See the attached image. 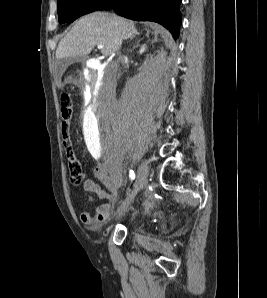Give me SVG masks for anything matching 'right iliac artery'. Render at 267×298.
<instances>
[{
    "label": "right iliac artery",
    "instance_id": "right-iliac-artery-1",
    "mask_svg": "<svg viewBox=\"0 0 267 298\" xmlns=\"http://www.w3.org/2000/svg\"><path fill=\"white\" fill-rule=\"evenodd\" d=\"M129 177H130L131 181H133L135 178V174L132 170H130V172H129Z\"/></svg>",
    "mask_w": 267,
    "mask_h": 298
}]
</instances>
